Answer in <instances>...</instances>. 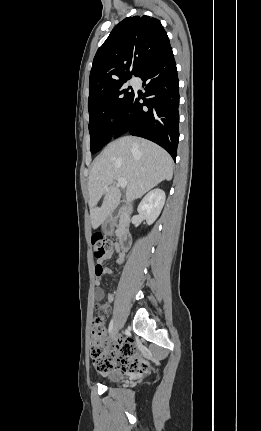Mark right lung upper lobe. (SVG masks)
I'll use <instances>...</instances> for the list:
<instances>
[{
	"label": "right lung upper lobe",
	"mask_w": 261,
	"mask_h": 431,
	"mask_svg": "<svg viewBox=\"0 0 261 431\" xmlns=\"http://www.w3.org/2000/svg\"><path fill=\"white\" fill-rule=\"evenodd\" d=\"M169 47V38L158 19L145 15L125 18L96 52L89 94L136 76Z\"/></svg>",
	"instance_id": "cb5924a9"
}]
</instances>
